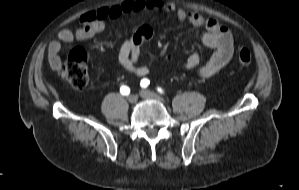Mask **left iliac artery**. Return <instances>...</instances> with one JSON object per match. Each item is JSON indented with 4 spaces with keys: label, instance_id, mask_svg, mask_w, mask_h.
Instances as JSON below:
<instances>
[{
    "label": "left iliac artery",
    "instance_id": "44dca946",
    "mask_svg": "<svg viewBox=\"0 0 299 190\" xmlns=\"http://www.w3.org/2000/svg\"><path fill=\"white\" fill-rule=\"evenodd\" d=\"M150 84V81L147 78H143L140 82L141 87L146 88ZM158 92L163 93L161 88H157Z\"/></svg>",
    "mask_w": 299,
    "mask_h": 190
}]
</instances>
